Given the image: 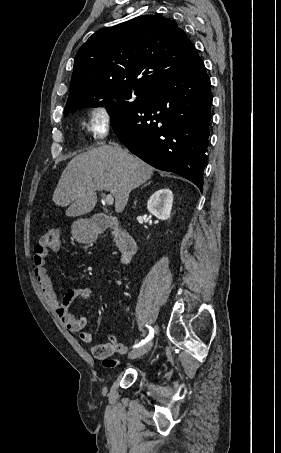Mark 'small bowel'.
<instances>
[{
	"instance_id": "small-bowel-1",
	"label": "small bowel",
	"mask_w": 281,
	"mask_h": 453,
	"mask_svg": "<svg viewBox=\"0 0 281 453\" xmlns=\"http://www.w3.org/2000/svg\"><path fill=\"white\" fill-rule=\"evenodd\" d=\"M46 257L47 252L45 250L36 251L34 255V276L48 305L58 314L61 322L65 324L68 330L78 332L81 340L90 345V351L97 359L106 363L110 368L120 365L122 361L120 359L113 360L112 356L115 353H127L129 349L120 343L111 332L108 333V343L93 344V335L85 331L87 325L86 316H74L69 310V304L76 300L86 302L93 297L94 292L87 287L70 288L65 293L64 304L61 305L55 292L53 278L46 267Z\"/></svg>"
}]
</instances>
